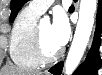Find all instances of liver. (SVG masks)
I'll return each mask as SVG.
<instances>
[{
  "instance_id": "liver-1",
  "label": "liver",
  "mask_w": 102,
  "mask_h": 75,
  "mask_svg": "<svg viewBox=\"0 0 102 75\" xmlns=\"http://www.w3.org/2000/svg\"><path fill=\"white\" fill-rule=\"evenodd\" d=\"M1 75H41L40 72H29L15 66L6 67L0 71Z\"/></svg>"
}]
</instances>
